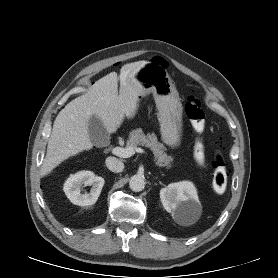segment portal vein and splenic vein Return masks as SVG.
Masks as SVG:
<instances>
[{
	"instance_id": "portal-vein-and-splenic-vein-1",
	"label": "portal vein and splenic vein",
	"mask_w": 278,
	"mask_h": 278,
	"mask_svg": "<svg viewBox=\"0 0 278 278\" xmlns=\"http://www.w3.org/2000/svg\"><path fill=\"white\" fill-rule=\"evenodd\" d=\"M135 152L138 153H144L145 151L142 148H133V147H115L112 149V153L118 157L122 158H129L135 154Z\"/></svg>"
}]
</instances>
